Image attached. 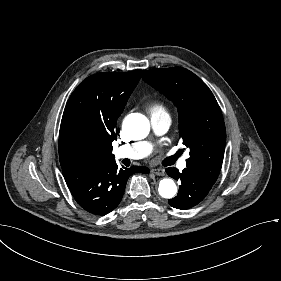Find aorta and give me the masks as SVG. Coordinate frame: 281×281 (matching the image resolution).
Wrapping results in <instances>:
<instances>
[{
  "label": "aorta",
  "instance_id": "762f6f07",
  "mask_svg": "<svg viewBox=\"0 0 281 281\" xmlns=\"http://www.w3.org/2000/svg\"><path fill=\"white\" fill-rule=\"evenodd\" d=\"M125 132L135 140L144 139L150 131V123L146 116L139 113L128 115L123 123ZM158 191L161 197L173 198L177 193V186L172 179H162Z\"/></svg>",
  "mask_w": 281,
  "mask_h": 281
}]
</instances>
